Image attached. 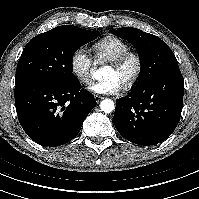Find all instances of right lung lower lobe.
<instances>
[{
    "instance_id": "1",
    "label": "right lung lower lobe",
    "mask_w": 199,
    "mask_h": 199,
    "mask_svg": "<svg viewBox=\"0 0 199 199\" xmlns=\"http://www.w3.org/2000/svg\"><path fill=\"white\" fill-rule=\"evenodd\" d=\"M15 106L26 134L42 146L56 147L74 139L95 107L92 94L78 81L56 84L30 81L15 85Z\"/></svg>"
}]
</instances>
